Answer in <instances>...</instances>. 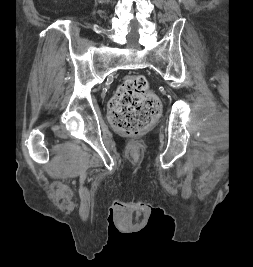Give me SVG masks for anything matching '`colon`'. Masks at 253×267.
Masks as SVG:
<instances>
[{
  "label": "colon",
  "instance_id": "1",
  "mask_svg": "<svg viewBox=\"0 0 253 267\" xmlns=\"http://www.w3.org/2000/svg\"><path fill=\"white\" fill-rule=\"evenodd\" d=\"M110 120L119 132L141 134L158 116L161 104L141 75L127 76L109 103Z\"/></svg>",
  "mask_w": 253,
  "mask_h": 267
}]
</instances>
